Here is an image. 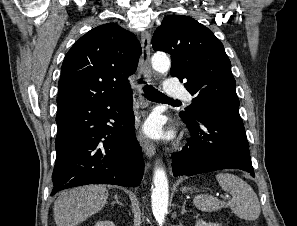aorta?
<instances>
[{
	"instance_id": "1",
	"label": "aorta",
	"mask_w": 297,
	"mask_h": 226,
	"mask_svg": "<svg viewBox=\"0 0 297 226\" xmlns=\"http://www.w3.org/2000/svg\"><path fill=\"white\" fill-rule=\"evenodd\" d=\"M170 59L164 53H156L152 57V67L159 73H165L170 68ZM154 188L151 194L153 215L159 224H162L168 208V180L165 170L156 167L153 176Z\"/></svg>"
}]
</instances>
